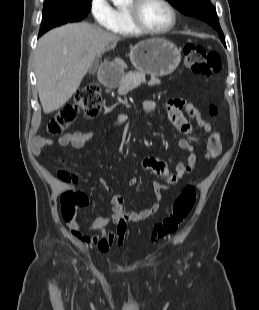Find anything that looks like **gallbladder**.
Returning <instances> with one entry per match:
<instances>
[{
    "label": "gallbladder",
    "mask_w": 259,
    "mask_h": 310,
    "mask_svg": "<svg viewBox=\"0 0 259 310\" xmlns=\"http://www.w3.org/2000/svg\"><path fill=\"white\" fill-rule=\"evenodd\" d=\"M94 67L96 68V67H97V64H95Z\"/></svg>",
    "instance_id": "obj_1"
}]
</instances>
